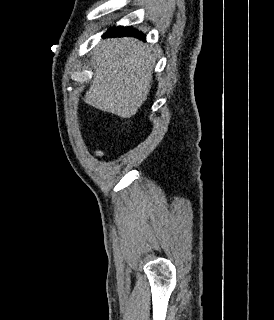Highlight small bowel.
<instances>
[{"mask_svg":"<svg viewBox=\"0 0 274 320\" xmlns=\"http://www.w3.org/2000/svg\"><path fill=\"white\" fill-rule=\"evenodd\" d=\"M90 151H91V153H96L95 157L97 159H102L103 158V162L104 163H109L110 162V157L109 156H104V154L102 152H98V151H100V148H98V146H91Z\"/></svg>","mask_w":274,"mask_h":320,"instance_id":"c3829d8e","label":"small bowel"}]
</instances>
